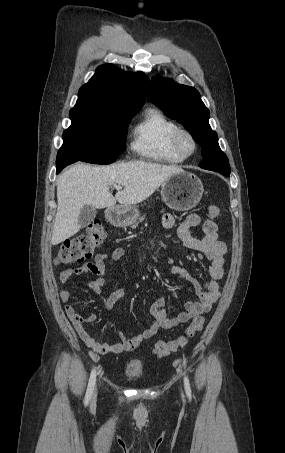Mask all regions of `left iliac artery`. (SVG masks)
<instances>
[{"instance_id":"left-iliac-artery-1","label":"left iliac artery","mask_w":285,"mask_h":453,"mask_svg":"<svg viewBox=\"0 0 285 453\" xmlns=\"http://www.w3.org/2000/svg\"><path fill=\"white\" fill-rule=\"evenodd\" d=\"M184 386H185L186 394H187L188 398L191 400L192 394H191L189 379L187 376H184Z\"/></svg>"}]
</instances>
